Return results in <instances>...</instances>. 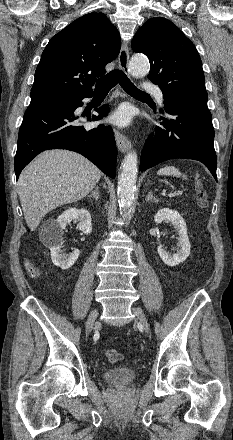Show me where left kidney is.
<instances>
[{"label": "left kidney", "mask_w": 233, "mask_h": 440, "mask_svg": "<svg viewBox=\"0 0 233 440\" xmlns=\"http://www.w3.org/2000/svg\"><path fill=\"white\" fill-rule=\"evenodd\" d=\"M167 220L171 222L178 231V246L180 249L177 253L171 254L167 252L162 245L157 247L158 254L162 261L168 266H176L182 263L190 254V242L187 235V227L182 216L175 210L168 208L160 209L154 216L155 223H161Z\"/></svg>", "instance_id": "1"}]
</instances>
